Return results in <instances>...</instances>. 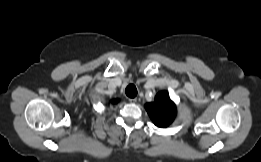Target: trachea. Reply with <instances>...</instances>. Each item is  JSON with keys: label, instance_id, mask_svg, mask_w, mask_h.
<instances>
[{"label": "trachea", "instance_id": "trachea-1", "mask_svg": "<svg viewBox=\"0 0 261 162\" xmlns=\"http://www.w3.org/2000/svg\"><path fill=\"white\" fill-rule=\"evenodd\" d=\"M125 93L128 97L134 98L137 95V88L133 84H131L127 86Z\"/></svg>", "mask_w": 261, "mask_h": 162}]
</instances>
